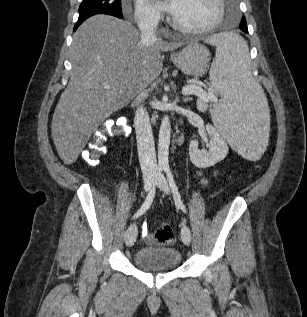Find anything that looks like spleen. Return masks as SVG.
Instances as JSON below:
<instances>
[{
	"mask_svg": "<svg viewBox=\"0 0 307 317\" xmlns=\"http://www.w3.org/2000/svg\"><path fill=\"white\" fill-rule=\"evenodd\" d=\"M203 44L216 47L210 81L221 96L212 120L242 160H261L270 139L267 93L252 77L246 42L235 33H208Z\"/></svg>",
	"mask_w": 307,
	"mask_h": 317,
	"instance_id": "3e777b00",
	"label": "spleen"
}]
</instances>
